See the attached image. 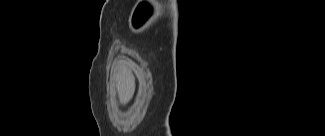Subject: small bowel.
Instances as JSON below:
<instances>
[{
  "mask_svg": "<svg viewBox=\"0 0 325 136\" xmlns=\"http://www.w3.org/2000/svg\"><path fill=\"white\" fill-rule=\"evenodd\" d=\"M127 88H130V84L129 83H127Z\"/></svg>",
  "mask_w": 325,
  "mask_h": 136,
  "instance_id": "c3829d8e",
  "label": "small bowel"
}]
</instances>
